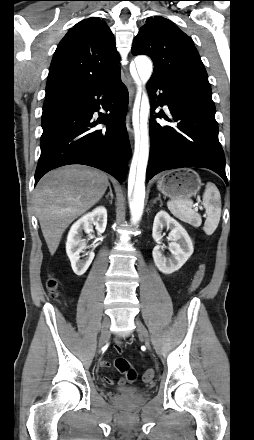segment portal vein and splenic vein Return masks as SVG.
Wrapping results in <instances>:
<instances>
[{
    "label": "portal vein and splenic vein",
    "instance_id": "1",
    "mask_svg": "<svg viewBox=\"0 0 254 440\" xmlns=\"http://www.w3.org/2000/svg\"><path fill=\"white\" fill-rule=\"evenodd\" d=\"M198 209H201V207L196 206L195 211H198Z\"/></svg>",
    "mask_w": 254,
    "mask_h": 440
}]
</instances>
